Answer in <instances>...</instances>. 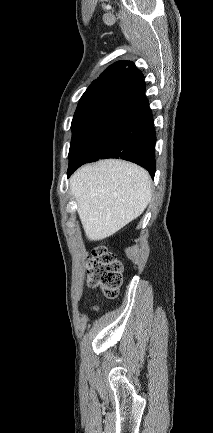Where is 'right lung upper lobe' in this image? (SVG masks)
Segmentation results:
<instances>
[{"instance_id": "1", "label": "right lung upper lobe", "mask_w": 213, "mask_h": 433, "mask_svg": "<svg viewBox=\"0 0 213 433\" xmlns=\"http://www.w3.org/2000/svg\"><path fill=\"white\" fill-rule=\"evenodd\" d=\"M142 78V72L136 68L133 62L118 61L110 65L91 83L81 99L104 94L118 95Z\"/></svg>"}]
</instances>
